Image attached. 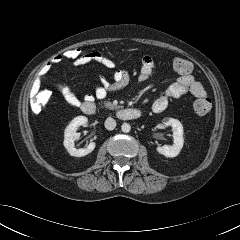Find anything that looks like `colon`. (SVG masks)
I'll return each instance as SVG.
<instances>
[{
  "label": "colon",
  "mask_w": 240,
  "mask_h": 240,
  "mask_svg": "<svg viewBox=\"0 0 240 240\" xmlns=\"http://www.w3.org/2000/svg\"><path fill=\"white\" fill-rule=\"evenodd\" d=\"M85 52L80 47H71L61 53L64 60L73 63L75 66L83 65ZM174 71L179 74H190L193 66L190 61L177 57L172 63ZM49 95L45 92L31 97V108L34 112H40L42 107L47 103ZM193 109L199 116H206L211 110V102L208 98H196L192 102Z\"/></svg>",
  "instance_id": "obj_1"
}]
</instances>
